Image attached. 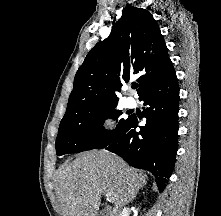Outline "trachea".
Here are the masks:
<instances>
[{
  "mask_svg": "<svg viewBox=\"0 0 221 216\" xmlns=\"http://www.w3.org/2000/svg\"><path fill=\"white\" fill-rule=\"evenodd\" d=\"M137 87H138V84H133V85H132V88H133V89H136Z\"/></svg>",
  "mask_w": 221,
  "mask_h": 216,
  "instance_id": "3493384b",
  "label": "trachea"
}]
</instances>
